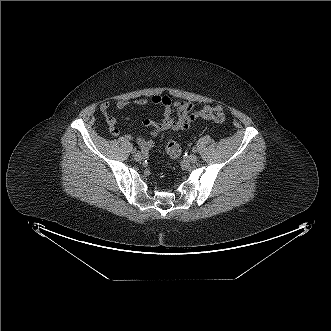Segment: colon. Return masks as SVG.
I'll list each match as a JSON object with an SVG mask.
<instances>
[{
	"label": "colon",
	"instance_id": "5ec220e1",
	"mask_svg": "<svg viewBox=\"0 0 331 331\" xmlns=\"http://www.w3.org/2000/svg\"><path fill=\"white\" fill-rule=\"evenodd\" d=\"M197 117L222 122L225 119V114L220 106H205L198 112ZM166 152L171 158H176L179 156L181 149L176 142L169 141L166 145Z\"/></svg>",
	"mask_w": 331,
	"mask_h": 331
}]
</instances>
